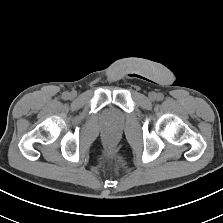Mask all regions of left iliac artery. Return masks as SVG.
I'll return each instance as SVG.
<instances>
[{
    "label": "left iliac artery",
    "mask_w": 223,
    "mask_h": 223,
    "mask_svg": "<svg viewBox=\"0 0 223 223\" xmlns=\"http://www.w3.org/2000/svg\"><path fill=\"white\" fill-rule=\"evenodd\" d=\"M156 98L158 101H161L163 99V94L158 93Z\"/></svg>",
    "instance_id": "44dca946"
}]
</instances>
